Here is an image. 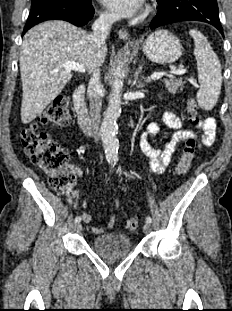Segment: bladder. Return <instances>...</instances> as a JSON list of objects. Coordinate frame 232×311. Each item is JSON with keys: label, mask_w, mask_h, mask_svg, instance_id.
<instances>
[{"label": "bladder", "mask_w": 232, "mask_h": 311, "mask_svg": "<svg viewBox=\"0 0 232 311\" xmlns=\"http://www.w3.org/2000/svg\"><path fill=\"white\" fill-rule=\"evenodd\" d=\"M93 251L109 258H117L129 253L132 244L129 236L123 233H106L95 237L91 243Z\"/></svg>", "instance_id": "bladder-1"}]
</instances>
